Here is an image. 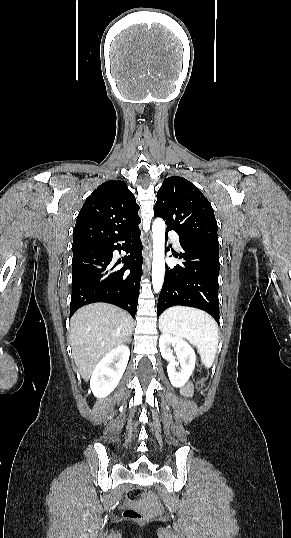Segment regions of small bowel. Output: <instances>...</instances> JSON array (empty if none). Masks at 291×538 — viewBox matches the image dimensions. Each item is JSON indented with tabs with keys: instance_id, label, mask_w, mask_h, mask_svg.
Segmentation results:
<instances>
[{
	"instance_id": "small-bowel-1",
	"label": "small bowel",
	"mask_w": 291,
	"mask_h": 538,
	"mask_svg": "<svg viewBox=\"0 0 291 538\" xmlns=\"http://www.w3.org/2000/svg\"><path fill=\"white\" fill-rule=\"evenodd\" d=\"M183 393L184 394H189L191 392V387L189 385H186L184 388H183Z\"/></svg>"
}]
</instances>
